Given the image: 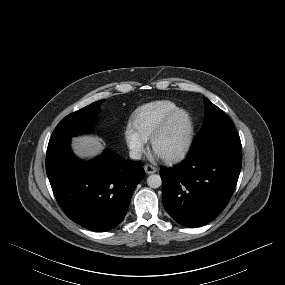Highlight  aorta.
Segmentation results:
<instances>
[{
	"label": "aorta",
	"instance_id": "762f6f07",
	"mask_svg": "<svg viewBox=\"0 0 285 285\" xmlns=\"http://www.w3.org/2000/svg\"><path fill=\"white\" fill-rule=\"evenodd\" d=\"M147 184L151 188H159L162 184L161 177L157 174H152L147 178Z\"/></svg>",
	"mask_w": 285,
	"mask_h": 285
}]
</instances>
